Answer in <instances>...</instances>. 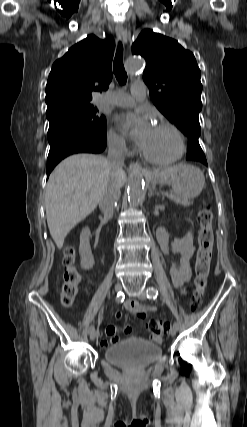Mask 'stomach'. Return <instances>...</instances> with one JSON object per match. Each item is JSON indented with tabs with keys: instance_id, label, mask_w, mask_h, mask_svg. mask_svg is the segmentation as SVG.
<instances>
[{
	"instance_id": "obj_1",
	"label": "stomach",
	"mask_w": 247,
	"mask_h": 427,
	"mask_svg": "<svg viewBox=\"0 0 247 427\" xmlns=\"http://www.w3.org/2000/svg\"><path fill=\"white\" fill-rule=\"evenodd\" d=\"M152 184H169L175 195L188 201L196 198L205 185L202 171L192 165L180 163L155 172L150 178Z\"/></svg>"
}]
</instances>
